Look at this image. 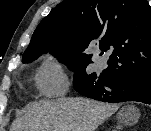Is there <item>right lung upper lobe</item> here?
Listing matches in <instances>:
<instances>
[{
    "label": "right lung upper lobe",
    "instance_id": "obj_1",
    "mask_svg": "<svg viewBox=\"0 0 151 131\" xmlns=\"http://www.w3.org/2000/svg\"><path fill=\"white\" fill-rule=\"evenodd\" d=\"M39 44H64L80 54L99 45L112 52L103 75L149 74L151 8L147 0H65L34 31L29 46Z\"/></svg>",
    "mask_w": 151,
    "mask_h": 131
}]
</instances>
